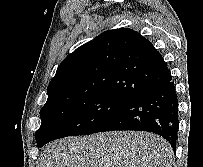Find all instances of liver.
<instances>
[{
  "label": "liver",
  "mask_w": 203,
  "mask_h": 167,
  "mask_svg": "<svg viewBox=\"0 0 203 167\" xmlns=\"http://www.w3.org/2000/svg\"><path fill=\"white\" fill-rule=\"evenodd\" d=\"M172 148L148 132L118 131L51 142L37 167H171Z\"/></svg>",
  "instance_id": "1"
}]
</instances>
